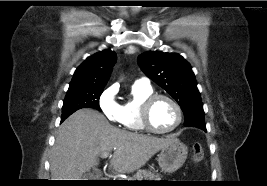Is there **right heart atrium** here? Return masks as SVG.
I'll return each mask as SVG.
<instances>
[{
    "mask_svg": "<svg viewBox=\"0 0 267 186\" xmlns=\"http://www.w3.org/2000/svg\"><path fill=\"white\" fill-rule=\"evenodd\" d=\"M116 89L107 88L99 97V107L104 116L110 121H117L118 118V104L115 99Z\"/></svg>",
    "mask_w": 267,
    "mask_h": 186,
    "instance_id": "obj_1",
    "label": "right heart atrium"
}]
</instances>
